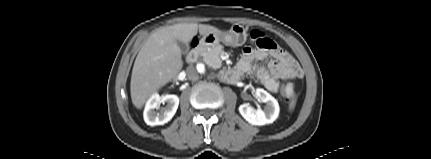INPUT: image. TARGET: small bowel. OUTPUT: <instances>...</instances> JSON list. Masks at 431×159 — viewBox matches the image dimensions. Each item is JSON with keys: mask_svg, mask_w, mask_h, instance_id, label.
Masks as SVG:
<instances>
[{"mask_svg": "<svg viewBox=\"0 0 431 159\" xmlns=\"http://www.w3.org/2000/svg\"><path fill=\"white\" fill-rule=\"evenodd\" d=\"M257 62H266V65L262 66ZM236 70L255 75L266 89L274 93L278 92L280 81L301 75V69L294 58L266 37L262 43L255 41L254 47L247 46L243 49Z\"/></svg>", "mask_w": 431, "mask_h": 159, "instance_id": "obj_1", "label": "small bowel"}]
</instances>
